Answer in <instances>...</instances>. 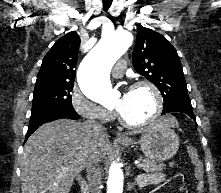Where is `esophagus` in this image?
<instances>
[{"label": "esophagus", "mask_w": 221, "mask_h": 193, "mask_svg": "<svg viewBox=\"0 0 221 193\" xmlns=\"http://www.w3.org/2000/svg\"><path fill=\"white\" fill-rule=\"evenodd\" d=\"M126 137H125V135L124 134H122V133H118L117 134V139H125Z\"/></svg>", "instance_id": "obj_1"}]
</instances>
